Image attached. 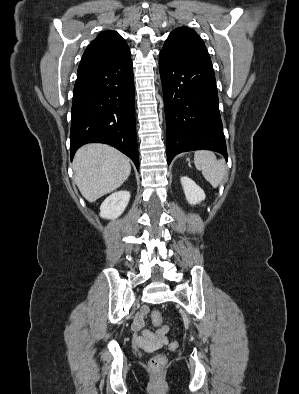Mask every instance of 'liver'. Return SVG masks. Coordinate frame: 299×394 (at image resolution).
<instances>
[{"instance_id": "6515ba94", "label": "liver", "mask_w": 299, "mask_h": 394, "mask_svg": "<svg viewBox=\"0 0 299 394\" xmlns=\"http://www.w3.org/2000/svg\"><path fill=\"white\" fill-rule=\"evenodd\" d=\"M75 182L89 202L119 188L131 172L129 158L104 144L81 147L74 158Z\"/></svg>"}]
</instances>
